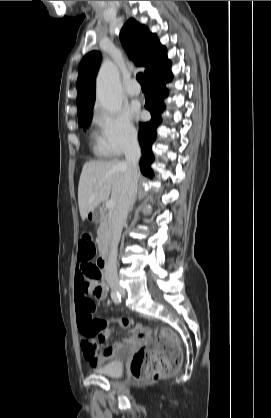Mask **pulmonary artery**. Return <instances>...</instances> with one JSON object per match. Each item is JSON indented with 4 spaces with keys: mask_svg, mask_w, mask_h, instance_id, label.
<instances>
[{
    "mask_svg": "<svg viewBox=\"0 0 271 418\" xmlns=\"http://www.w3.org/2000/svg\"><path fill=\"white\" fill-rule=\"evenodd\" d=\"M126 92L129 96L135 97L138 96L141 92V89L136 81L132 80L128 83Z\"/></svg>",
    "mask_w": 271,
    "mask_h": 418,
    "instance_id": "e3ab8cb5",
    "label": "pulmonary artery"
}]
</instances>
